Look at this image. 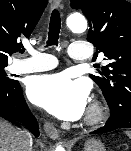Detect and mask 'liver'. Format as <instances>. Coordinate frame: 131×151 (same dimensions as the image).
<instances>
[{"mask_svg": "<svg viewBox=\"0 0 131 151\" xmlns=\"http://www.w3.org/2000/svg\"><path fill=\"white\" fill-rule=\"evenodd\" d=\"M19 131L0 120V151H19Z\"/></svg>", "mask_w": 131, "mask_h": 151, "instance_id": "6515ba94", "label": "liver"}]
</instances>
